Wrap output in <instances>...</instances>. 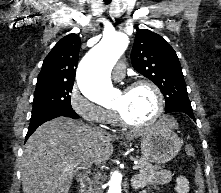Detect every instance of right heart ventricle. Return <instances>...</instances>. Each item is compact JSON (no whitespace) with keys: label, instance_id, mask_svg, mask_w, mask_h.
<instances>
[{"label":"right heart ventricle","instance_id":"right-heart-ventricle-1","mask_svg":"<svg viewBox=\"0 0 221 193\" xmlns=\"http://www.w3.org/2000/svg\"><path fill=\"white\" fill-rule=\"evenodd\" d=\"M114 120H115V118H114V116H112L111 121H114Z\"/></svg>","mask_w":221,"mask_h":193}]
</instances>
